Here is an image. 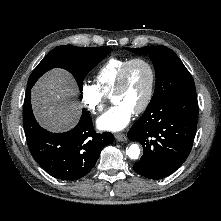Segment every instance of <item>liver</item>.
Here are the masks:
<instances>
[{"mask_svg":"<svg viewBox=\"0 0 221 221\" xmlns=\"http://www.w3.org/2000/svg\"><path fill=\"white\" fill-rule=\"evenodd\" d=\"M76 95L74 79L67 71L50 70L32 89V108L37 121L52 132L73 128L81 114Z\"/></svg>","mask_w":221,"mask_h":221,"instance_id":"obj_1","label":"liver"}]
</instances>
